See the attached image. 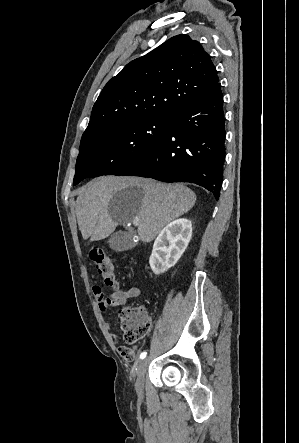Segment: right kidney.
Returning a JSON list of instances; mask_svg holds the SVG:
<instances>
[{"label": "right kidney", "instance_id": "ca27d5eb", "mask_svg": "<svg viewBox=\"0 0 299 443\" xmlns=\"http://www.w3.org/2000/svg\"><path fill=\"white\" fill-rule=\"evenodd\" d=\"M192 236V223L181 218L169 223L155 239L149 264L159 275L173 267L182 256Z\"/></svg>", "mask_w": 299, "mask_h": 443}]
</instances>
